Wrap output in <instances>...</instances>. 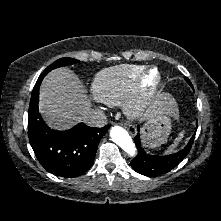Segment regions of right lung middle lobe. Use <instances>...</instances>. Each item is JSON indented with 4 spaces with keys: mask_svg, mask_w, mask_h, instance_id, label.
<instances>
[{
    "mask_svg": "<svg viewBox=\"0 0 221 221\" xmlns=\"http://www.w3.org/2000/svg\"><path fill=\"white\" fill-rule=\"evenodd\" d=\"M79 61L76 60V59H73V58H68V57H65V58H61V59H58L57 61H55L54 63H52L49 67H47L43 72L42 74L40 75V77L38 78V80H43V78L46 76V74L55 69V68H58V67H61V66H66V65H70V64H74V63H78Z\"/></svg>",
    "mask_w": 221,
    "mask_h": 221,
    "instance_id": "dd1d6c3e",
    "label": "right lung middle lobe"
}]
</instances>
